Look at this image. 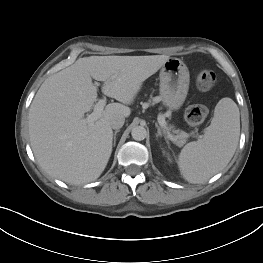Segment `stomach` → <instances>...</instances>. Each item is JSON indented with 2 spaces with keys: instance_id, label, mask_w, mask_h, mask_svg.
Wrapping results in <instances>:
<instances>
[{
  "instance_id": "0dacf381",
  "label": "stomach",
  "mask_w": 263,
  "mask_h": 263,
  "mask_svg": "<svg viewBox=\"0 0 263 263\" xmlns=\"http://www.w3.org/2000/svg\"><path fill=\"white\" fill-rule=\"evenodd\" d=\"M160 96L170 110H178L184 103L190 75L187 66L178 58H169L160 70Z\"/></svg>"
}]
</instances>
